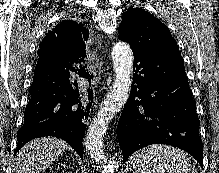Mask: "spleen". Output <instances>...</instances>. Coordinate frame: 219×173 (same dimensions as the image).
I'll return each instance as SVG.
<instances>
[{"label": "spleen", "instance_id": "spleen-1", "mask_svg": "<svg viewBox=\"0 0 219 173\" xmlns=\"http://www.w3.org/2000/svg\"><path fill=\"white\" fill-rule=\"evenodd\" d=\"M132 166L136 173H197L183 151L166 145H151L135 152Z\"/></svg>", "mask_w": 219, "mask_h": 173}]
</instances>
